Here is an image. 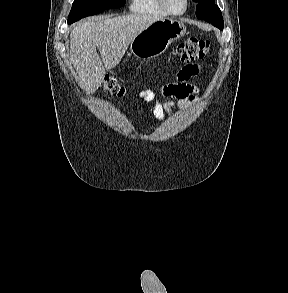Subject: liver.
I'll use <instances>...</instances> for the list:
<instances>
[{
  "instance_id": "6515ba94",
  "label": "liver",
  "mask_w": 288,
  "mask_h": 293,
  "mask_svg": "<svg viewBox=\"0 0 288 293\" xmlns=\"http://www.w3.org/2000/svg\"><path fill=\"white\" fill-rule=\"evenodd\" d=\"M160 19L163 17L157 14H129L78 23L70 33V60L79 86L89 94L95 92L103 82L105 69L116 67L134 37Z\"/></svg>"
}]
</instances>
